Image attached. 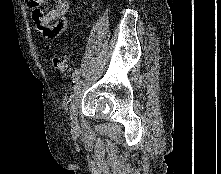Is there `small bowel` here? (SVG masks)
I'll return each instance as SVG.
<instances>
[{
  "label": "small bowel",
  "mask_w": 221,
  "mask_h": 174,
  "mask_svg": "<svg viewBox=\"0 0 221 174\" xmlns=\"http://www.w3.org/2000/svg\"><path fill=\"white\" fill-rule=\"evenodd\" d=\"M31 7V17L37 30L47 39L64 33L68 26L67 15L70 9L68 0H55V7L44 13L42 6L48 0H27Z\"/></svg>",
  "instance_id": "small-bowel-1"
}]
</instances>
